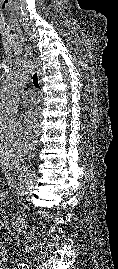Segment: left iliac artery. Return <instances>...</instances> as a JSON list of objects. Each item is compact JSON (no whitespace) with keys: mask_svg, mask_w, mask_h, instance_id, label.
Returning <instances> with one entry per match:
<instances>
[{"mask_svg":"<svg viewBox=\"0 0 118 269\" xmlns=\"http://www.w3.org/2000/svg\"><path fill=\"white\" fill-rule=\"evenodd\" d=\"M18 269H29V266L23 262L18 263Z\"/></svg>","mask_w":118,"mask_h":269,"instance_id":"44dca946","label":"left iliac artery"}]
</instances>
